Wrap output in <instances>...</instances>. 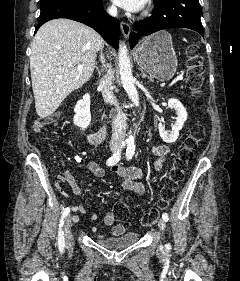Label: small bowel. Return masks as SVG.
<instances>
[{
	"mask_svg": "<svg viewBox=\"0 0 240 281\" xmlns=\"http://www.w3.org/2000/svg\"><path fill=\"white\" fill-rule=\"evenodd\" d=\"M154 154L156 155L157 159L155 162L156 169H161L163 162L165 161L168 153H169V147L167 145H157L153 149ZM79 167H86L95 177L102 178L105 175V170L99 166L95 162H90L87 164L79 163ZM112 172L122 178V188L128 191H131L137 195H143L145 193V186L140 181L141 178V171L139 168L135 166L131 167H123L121 165H115L111 168ZM63 179L65 182L69 184L71 187L73 193L75 195H81L82 189L78 185L76 179L72 175V173L66 169L63 173ZM59 187V186H58ZM106 202V200H105ZM71 208L74 212H80L83 214H87V210L82 204H74L68 207ZM98 218V215L95 213L90 214L91 220H96ZM73 221L77 222L79 221L78 216H73ZM103 223L106 227H109L110 234L114 236L121 235L125 231V227L122 224H116L115 218L112 212H107L103 218ZM94 232H96V229H92Z\"/></svg>",
	"mask_w": 240,
	"mask_h": 281,
	"instance_id": "small-bowel-1",
	"label": "small bowel"
}]
</instances>
